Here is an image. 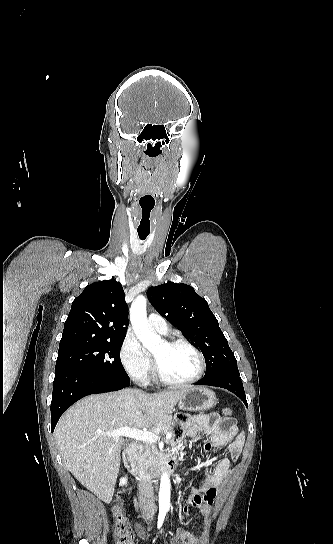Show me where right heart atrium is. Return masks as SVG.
I'll return each mask as SVG.
<instances>
[{"instance_id":"d8ad5b80","label":"right heart atrium","mask_w":333,"mask_h":544,"mask_svg":"<svg viewBox=\"0 0 333 544\" xmlns=\"http://www.w3.org/2000/svg\"><path fill=\"white\" fill-rule=\"evenodd\" d=\"M126 373L139 383H146L152 371V361L147 351L133 335H127L120 351Z\"/></svg>"}]
</instances>
